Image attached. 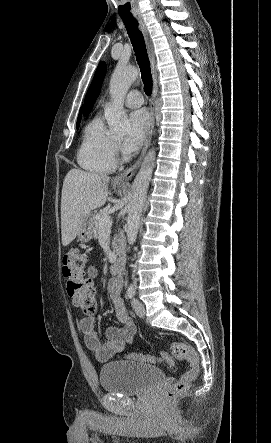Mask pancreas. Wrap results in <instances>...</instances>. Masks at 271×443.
<instances>
[{
    "label": "pancreas",
    "instance_id": "obj_1",
    "mask_svg": "<svg viewBox=\"0 0 271 443\" xmlns=\"http://www.w3.org/2000/svg\"><path fill=\"white\" fill-rule=\"evenodd\" d=\"M106 216H109L108 210H99L98 214L94 216L92 220L93 237H99V233H101L102 229H106V227H102V225L99 223L100 220H102V218H106ZM108 229H110V227H108ZM113 245H115V243H113Z\"/></svg>",
    "mask_w": 271,
    "mask_h": 443
}]
</instances>
